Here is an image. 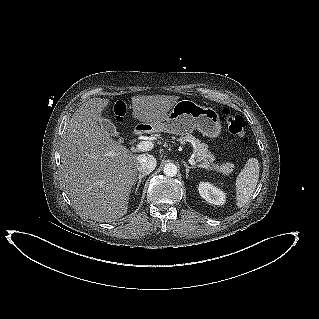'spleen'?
Listing matches in <instances>:
<instances>
[{"mask_svg":"<svg viewBox=\"0 0 319 319\" xmlns=\"http://www.w3.org/2000/svg\"><path fill=\"white\" fill-rule=\"evenodd\" d=\"M259 180V163L256 158L247 160L244 169L236 179V205L245 206L251 199Z\"/></svg>","mask_w":319,"mask_h":319,"instance_id":"3e777b00","label":"spleen"}]
</instances>
